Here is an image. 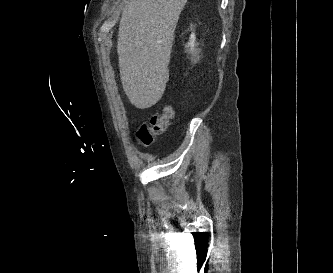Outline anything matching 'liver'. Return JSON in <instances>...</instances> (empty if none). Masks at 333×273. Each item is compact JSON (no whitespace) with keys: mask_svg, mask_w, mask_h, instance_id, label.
Instances as JSON below:
<instances>
[{"mask_svg":"<svg viewBox=\"0 0 333 273\" xmlns=\"http://www.w3.org/2000/svg\"><path fill=\"white\" fill-rule=\"evenodd\" d=\"M187 0H129L121 15L117 42L120 76L130 102L150 108L169 79L174 32Z\"/></svg>","mask_w":333,"mask_h":273,"instance_id":"1","label":"liver"}]
</instances>
